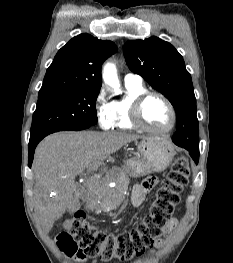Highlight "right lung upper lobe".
<instances>
[{
	"label": "right lung upper lobe",
	"instance_id": "obj_1",
	"mask_svg": "<svg viewBox=\"0 0 233 263\" xmlns=\"http://www.w3.org/2000/svg\"><path fill=\"white\" fill-rule=\"evenodd\" d=\"M116 51L113 42L88 34L72 38L47 69L39 95L68 89H100L101 66Z\"/></svg>",
	"mask_w": 233,
	"mask_h": 263
}]
</instances>
